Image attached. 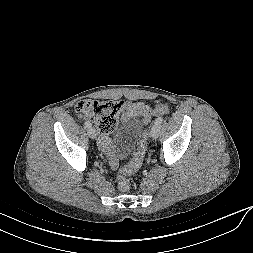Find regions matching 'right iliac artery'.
<instances>
[{"mask_svg":"<svg viewBox=\"0 0 253 253\" xmlns=\"http://www.w3.org/2000/svg\"><path fill=\"white\" fill-rule=\"evenodd\" d=\"M84 125H85V127L86 128H91V123L90 122H88V121H86L85 123H84Z\"/></svg>","mask_w":253,"mask_h":253,"instance_id":"obj_1","label":"right iliac artery"}]
</instances>
